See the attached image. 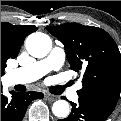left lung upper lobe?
Wrapping results in <instances>:
<instances>
[{"label":"left lung upper lobe","instance_id":"5c2ea615","mask_svg":"<svg viewBox=\"0 0 121 121\" xmlns=\"http://www.w3.org/2000/svg\"><path fill=\"white\" fill-rule=\"evenodd\" d=\"M46 29L64 44L71 69L83 72L79 99L111 114L121 91V54L112 37L77 23Z\"/></svg>","mask_w":121,"mask_h":121}]
</instances>
